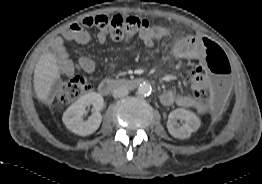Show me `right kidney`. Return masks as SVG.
Returning <instances> with one entry per match:
<instances>
[{"instance_id":"right-kidney-1","label":"right kidney","mask_w":262,"mask_h":184,"mask_svg":"<svg viewBox=\"0 0 262 184\" xmlns=\"http://www.w3.org/2000/svg\"><path fill=\"white\" fill-rule=\"evenodd\" d=\"M93 106V114L84 120L86 107ZM104 99L96 93L91 92L81 96L75 103L67 108L64 112L62 121L65 126L75 134L87 136L94 133L100 126L102 115L100 111L103 109Z\"/></svg>"}]
</instances>
